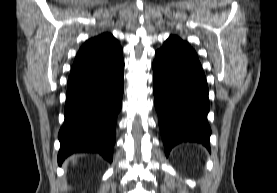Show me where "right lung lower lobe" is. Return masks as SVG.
<instances>
[{
	"label": "right lung lower lobe",
	"instance_id": "98d812e1",
	"mask_svg": "<svg viewBox=\"0 0 277 193\" xmlns=\"http://www.w3.org/2000/svg\"><path fill=\"white\" fill-rule=\"evenodd\" d=\"M122 48L93 65L73 68L68 78L65 121L59 131L58 164L74 152L113 159L115 129L124 87Z\"/></svg>",
	"mask_w": 277,
	"mask_h": 193
}]
</instances>
